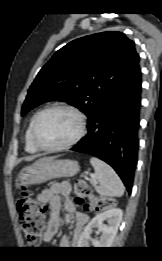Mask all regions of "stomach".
<instances>
[{
    "label": "stomach",
    "instance_id": "stomach-1",
    "mask_svg": "<svg viewBox=\"0 0 162 261\" xmlns=\"http://www.w3.org/2000/svg\"><path fill=\"white\" fill-rule=\"evenodd\" d=\"M79 171L80 166L77 161L46 157L21 171L18 175L17 184L19 186L40 184L54 178L72 177Z\"/></svg>",
    "mask_w": 162,
    "mask_h": 261
}]
</instances>
